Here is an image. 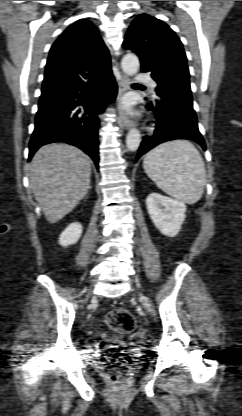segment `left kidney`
<instances>
[{
  "label": "left kidney",
  "mask_w": 242,
  "mask_h": 416,
  "mask_svg": "<svg viewBox=\"0 0 242 416\" xmlns=\"http://www.w3.org/2000/svg\"><path fill=\"white\" fill-rule=\"evenodd\" d=\"M146 206L156 228L165 236L175 237L185 220L186 205L181 201L151 193Z\"/></svg>",
  "instance_id": "5707ae66"
}]
</instances>
